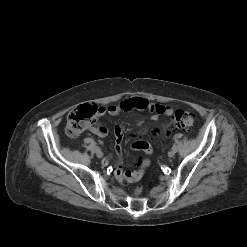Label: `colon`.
I'll return each instance as SVG.
<instances>
[{"label": "colon", "instance_id": "5ec220e1", "mask_svg": "<svg viewBox=\"0 0 247 247\" xmlns=\"http://www.w3.org/2000/svg\"><path fill=\"white\" fill-rule=\"evenodd\" d=\"M98 111L99 108L92 104H83L74 108L67 116V134L71 137L81 134L95 121ZM194 123L195 117L193 113L185 110H177L174 114L171 128L165 132L170 134L172 131H188L194 126ZM140 191L141 188L139 187L137 192Z\"/></svg>", "mask_w": 247, "mask_h": 247}]
</instances>
